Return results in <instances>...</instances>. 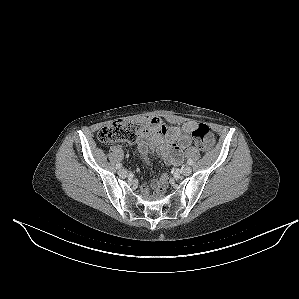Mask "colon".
Segmentation results:
<instances>
[{"instance_id": "1", "label": "colon", "mask_w": 299, "mask_h": 299, "mask_svg": "<svg viewBox=\"0 0 299 299\" xmlns=\"http://www.w3.org/2000/svg\"><path fill=\"white\" fill-rule=\"evenodd\" d=\"M140 124L127 121H114L102 127L98 132V140L104 144L116 142H135L142 131ZM195 145L200 149H207L212 144L210 129L206 124H198L192 133ZM165 190V181L158 187V193L162 194Z\"/></svg>"}]
</instances>
